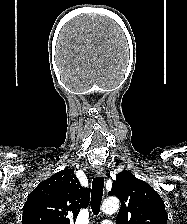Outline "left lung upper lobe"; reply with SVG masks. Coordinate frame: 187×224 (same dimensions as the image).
<instances>
[{
	"label": "left lung upper lobe",
	"mask_w": 187,
	"mask_h": 224,
	"mask_svg": "<svg viewBox=\"0 0 187 224\" xmlns=\"http://www.w3.org/2000/svg\"><path fill=\"white\" fill-rule=\"evenodd\" d=\"M109 195L117 196L121 201L117 224H167L160 195L131 172L123 170L116 176Z\"/></svg>",
	"instance_id": "left-lung-upper-lobe-1"
}]
</instances>
